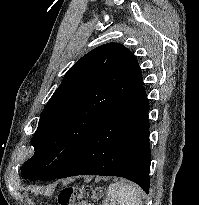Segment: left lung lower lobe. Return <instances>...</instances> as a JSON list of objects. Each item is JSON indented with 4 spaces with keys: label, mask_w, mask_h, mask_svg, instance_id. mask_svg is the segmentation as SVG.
<instances>
[{
    "label": "left lung lower lobe",
    "mask_w": 199,
    "mask_h": 205,
    "mask_svg": "<svg viewBox=\"0 0 199 205\" xmlns=\"http://www.w3.org/2000/svg\"><path fill=\"white\" fill-rule=\"evenodd\" d=\"M148 111L140 70L131 90L99 122L75 160L56 178L120 176L148 193L151 160Z\"/></svg>",
    "instance_id": "1"
}]
</instances>
